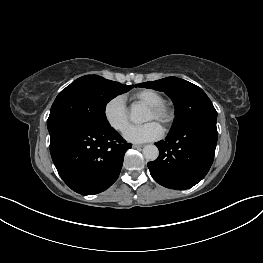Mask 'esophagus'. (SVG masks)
<instances>
[{
	"instance_id": "34e87169",
	"label": "esophagus",
	"mask_w": 263,
	"mask_h": 263,
	"mask_svg": "<svg viewBox=\"0 0 263 263\" xmlns=\"http://www.w3.org/2000/svg\"><path fill=\"white\" fill-rule=\"evenodd\" d=\"M132 147L135 148V149H138V148H142L143 145H141V144H133Z\"/></svg>"
}]
</instances>
